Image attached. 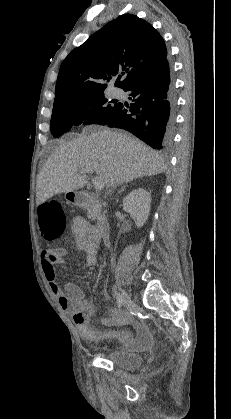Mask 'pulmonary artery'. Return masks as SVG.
<instances>
[{
	"instance_id": "obj_1",
	"label": "pulmonary artery",
	"mask_w": 231,
	"mask_h": 419,
	"mask_svg": "<svg viewBox=\"0 0 231 419\" xmlns=\"http://www.w3.org/2000/svg\"><path fill=\"white\" fill-rule=\"evenodd\" d=\"M113 94H114L115 97H118V98H120L124 95L123 91L119 88L114 89Z\"/></svg>"
}]
</instances>
